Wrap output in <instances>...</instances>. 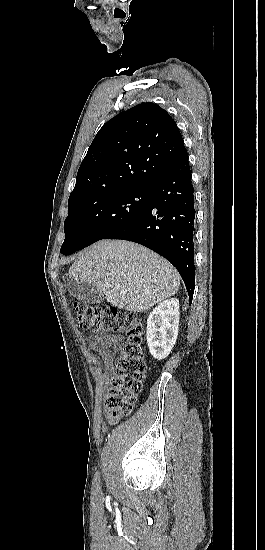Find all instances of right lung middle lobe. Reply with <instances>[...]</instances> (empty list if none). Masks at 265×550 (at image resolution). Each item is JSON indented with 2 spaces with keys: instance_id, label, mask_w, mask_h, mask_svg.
<instances>
[{
  "instance_id": "1",
  "label": "right lung middle lobe",
  "mask_w": 265,
  "mask_h": 550,
  "mask_svg": "<svg viewBox=\"0 0 265 550\" xmlns=\"http://www.w3.org/2000/svg\"><path fill=\"white\" fill-rule=\"evenodd\" d=\"M149 194L150 188L128 189L69 203L60 252L70 255L129 223L145 209Z\"/></svg>"
}]
</instances>
